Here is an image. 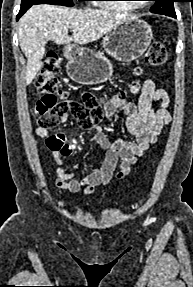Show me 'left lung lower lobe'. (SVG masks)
Instances as JSON below:
<instances>
[{
	"instance_id": "obj_1",
	"label": "left lung lower lobe",
	"mask_w": 193,
	"mask_h": 287,
	"mask_svg": "<svg viewBox=\"0 0 193 287\" xmlns=\"http://www.w3.org/2000/svg\"><path fill=\"white\" fill-rule=\"evenodd\" d=\"M169 16L176 18V14H175V13H174V14H171V15H169Z\"/></svg>"
}]
</instances>
